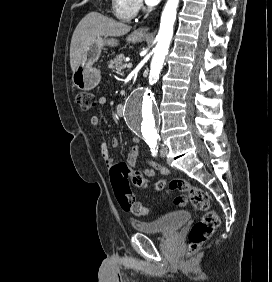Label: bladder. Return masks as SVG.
Instances as JSON below:
<instances>
[{
	"label": "bladder",
	"mask_w": 272,
	"mask_h": 282,
	"mask_svg": "<svg viewBox=\"0 0 272 282\" xmlns=\"http://www.w3.org/2000/svg\"><path fill=\"white\" fill-rule=\"evenodd\" d=\"M189 213L185 210L176 211L153 221L133 220L134 228L144 234H167L176 232L178 228L188 221Z\"/></svg>",
	"instance_id": "31cf9c89"
}]
</instances>
